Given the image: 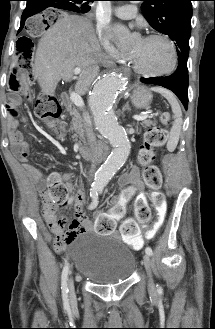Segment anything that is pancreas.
Returning <instances> with one entry per match:
<instances>
[{"label": "pancreas", "mask_w": 215, "mask_h": 329, "mask_svg": "<svg viewBox=\"0 0 215 329\" xmlns=\"http://www.w3.org/2000/svg\"><path fill=\"white\" fill-rule=\"evenodd\" d=\"M70 115L72 116L70 131L75 132L74 137L79 135L80 138H83L84 123L78 109L73 108L70 112ZM141 125L145 128L151 127L152 125H155V122L151 120H144L142 121Z\"/></svg>", "instance_id": "1"}]
</instances>
